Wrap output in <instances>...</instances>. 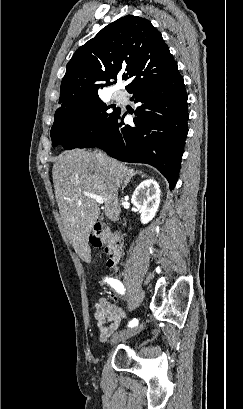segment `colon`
Returning <instances> with one entry per match:
<instances>
[{
    "mask_svg": "<svg viewBox=\"0 0 243 409\" xmlns=\"http://www.w3.org/2000/svg\"><path fill=\"white\" fill-rule=\"evenodd\" d=\"M91 245L94 247H103L108 254L107 266L116 268L121 257L123 240L120 235L107 233L99 224L95 225L93 232L89 237Z\"/></svg>",
    "mask_w": 243,
    "mask_h": 409,
    "instance_id": "1",
    "label": "colon"
}]
</instances>
